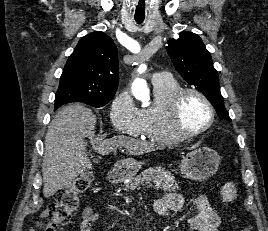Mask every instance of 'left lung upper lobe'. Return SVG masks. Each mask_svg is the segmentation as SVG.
<instances>
[{
    "mask_svg": "<svg viewBox=\"0 0 268 231\" xmlns=\"http://www.w3.org/2000/svg\"><path fill=\"white\" fill-rule=\"evenodd\" d=\"M167 43L166 50L183 79L206 96L220 117L231 122L220 92L217 71L201 38L192 32H181L178 39H170Z\"/></svg>",
    "mask_w": 268,
    "mask_h": 231,
    "instance_id": "left-lung-upper-lobe-1",
    "label": "left lung upper lobe"
}]
</instances>
